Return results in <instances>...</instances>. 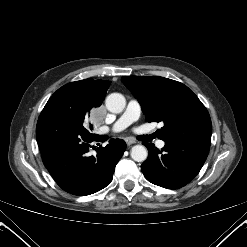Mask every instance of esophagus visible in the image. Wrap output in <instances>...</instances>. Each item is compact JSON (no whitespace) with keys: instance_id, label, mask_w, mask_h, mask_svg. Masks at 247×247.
Segmentation results:
<instances>
[{"instance_id":"1","label":"esophagus","mask_w":247,"mask_h":247,"mask_svg":"<svg viewBox=\"0 0 247 247\" xmlns=\"http://www.w3.org/2000/svg\"><path fill=\"white\" fill-rule=\"evenodd\" d=\"M125 141H126V144H127L128 146H130V145L136 143V141H135L134 139H132V138H127Z\"/></svg>"}]
</instances>
